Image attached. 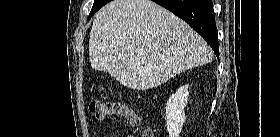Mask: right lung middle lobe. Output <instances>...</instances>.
<instances>
[{
	"instance_id": "right-lung-middle-lobe-1",
	"label": "right lung middle lobe",
	"mask_w": 280,
	"mask_h": 137,
	"mask_svg": "<svg viewBox=\"0 0 280 137\" xmlns=\"http://www.w3.org/2000/svg\"><path fill=\"white\" fill-rule=\"evenodd\" d=\"M111 0H94V4L93 7L91 9V12L88 16V20L101 8L103 7L105 4H107L108 2H110Z\"/></svg>"
}]
</instances>
